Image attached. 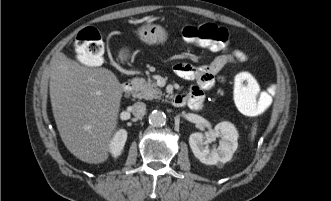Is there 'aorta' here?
<instances>
[{
    "instance_id": "obj_1",
    "label": "aorta",
    "mask_w": 331,
    "mask_h": 201,
    "mask_svg": "<svg viewBox=\"0 0 331 201\" xmlns=\"http://www.w3.org/2000/svg\"><path fill=\"white\" fill-rule=\"evenodd\" d=\"M149 123L153 127H162L166 123V115L162 111L154 110L149 115Z\"/></svg>"
}]
</instances>
